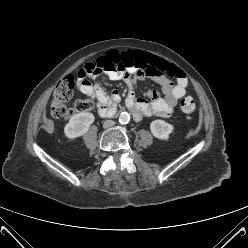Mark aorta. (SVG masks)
I'll return each instance as SVG.
<instances>
[{
  "label": "aorta",
  "instance_id": "1",
  "mask_svg": "<svg viewBox=\"0 0 248 248\" xmlns=\"http://www.w3.org/2000/svg\"><path fill=\"white\" fill-rule=\"evenodd\" d=\"M130 120V115L127 112H122L119 116V122L121 124H127Z\"/></svg>",
  "mask_w": 248,
  "mask_h": 248
}]
</instances>
